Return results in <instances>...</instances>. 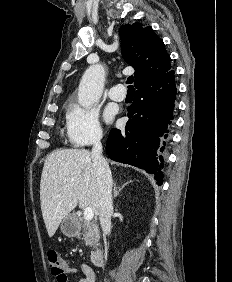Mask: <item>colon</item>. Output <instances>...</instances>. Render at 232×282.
<instances>
[{
    "label": "colon",
    "instance_id": "colon-1",
    "mask_svg": "<svg viewBox=\"0 0 232 282\" xmlns=\"http://www.w3.org/2000/svg\"><path fill=\"white\" fill-rule=\"evenodd\" d=\"M47 259L52 275L58 279L65 278V264L58 252L49 250L47 252Z\"/></svg>",
    "mask_w": 232,
    "mask_h": 282
}]
</instances>
